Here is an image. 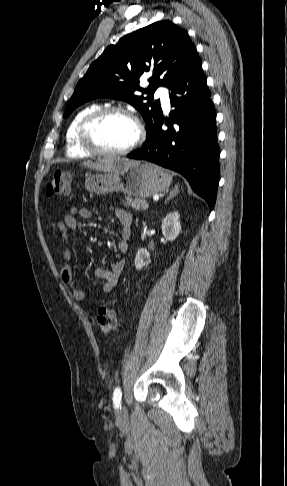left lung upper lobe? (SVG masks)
Instances as JSON below:
<instances>
[{
  "mask_svg": "<svg viewBox=\"0 0 287 486\" xmlns=\"http://www.w3.org/2000/svg\"><path fill=\"white\" fill-rule=\"evenodd\" d=\"M199 56L187 32L169 20L158 21L130 33L116 45L107 47L78 82L67 103L64 118L78 106L95 98L123 100L143 116L147 130L162 116L153 94L159 86L169 87ZM149 75V86H138L139 78ZM147 94L135 95L136 91Z\"/></svg>",
  "mask_w": 287,
  "mask_h": 486,
  "instance_id": "obj_1",
  "label": "left lung upper lobe"
}]
</instances>
